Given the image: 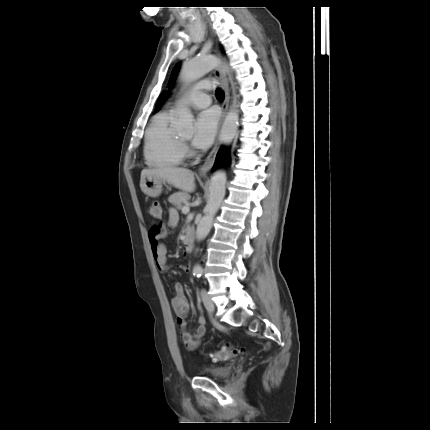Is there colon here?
Instances as JSON below:
<instances>
[{"mask_svg": "<svg viewBox=\"0 0 430 430\" xmlns=\"http://www.w3.org/2000/svg\"><path fill=\"white\" fill-rule=\"evenodd\" d=\"M150 215L155 219H161L162 209L159 203L154 202L149 208ZM241 350L237 347L226 345L221 349L211 352L209 357L216 362L230 360L240 354Z\"/></svg>", "mask_w": 430, "mask_h": 430, "instance_id": "5ec220e1", "label": "colon"}]
</instances>
